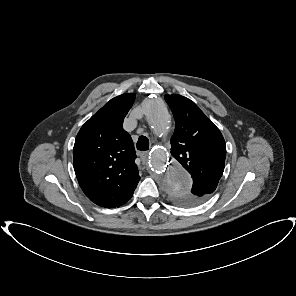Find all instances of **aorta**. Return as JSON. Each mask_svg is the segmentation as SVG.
Instances as JSON below:
<instances>
[{"mask_svg":"<svg viewBox=\"0 0 296 296\" xmlns=\"http://www.w3.org/2000/svg\"><path fill=\"white\" fill-rule=\"evenodd\" d=\"M142 112L156 134L166 133L170 128V114L162 100L147 98L142 104ZM150 165L159 185L166 192L191 189V177L173 157V149L169 144L156 142L151 146Z\"/></svg>","mask_w":296,"mask_h":296,"instance_id":"obj_1","label":"aorta"}]
</instances>
